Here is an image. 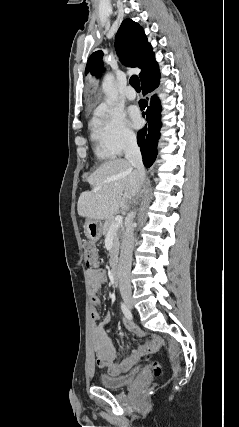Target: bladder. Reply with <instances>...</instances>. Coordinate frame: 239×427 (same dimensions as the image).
Segmentation results:
<instances>
[{"label":"bladder","instance_id":"obj_1","mask_svg":"<svg viewBox=\"0 0 239 427\" xmlns=\"http://www.w3.org/2000/svg\"><path fill=\"white\" fill-rule=\"evenodd\" d=\"M140 369L138 367L132 369L125 375H110L101 374L99 377L100 384L108 389H118L132 383L138 376Z\"/></svg>","mask_w":239,"mask_h":427}]
</instances>
